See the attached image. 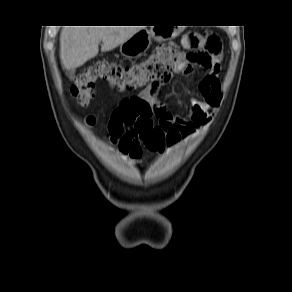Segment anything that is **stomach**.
I'll use <instances>...</instances> for the list:
<instances>
[{
	"label": "stomach",
	"mask_w": 292,
	"mask_h": 292,
	"mask_svg": "<svg viewBox=\"0 0 292 292\" xmlns=\"http://www.w3.org/2000/svg\"><path fill=\"white\" fill-rule=\"evenodd\" d=\"M179 31L180 29L162 26H154L150 30L141 29L120 46V52L125 57H135L150 47L152 38L158 41L172 39Z\"/></svg>",
	"instance_id": "obj_1"
}]
</instances>
